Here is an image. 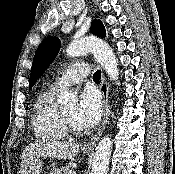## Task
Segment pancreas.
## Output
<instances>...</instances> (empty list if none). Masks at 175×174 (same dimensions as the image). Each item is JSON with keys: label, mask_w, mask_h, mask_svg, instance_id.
<instances>
[{"label": "pancreas", "mask_w": 175, "mask_h": 174, "mask_svg": "<svg viewBox=\"0 0 175 174\" xmlns=\"http://www.w3.org/2000/svg\"><path fill=\"white\" fill-rule=\"evenodd\" d=\"M64 174H73V165L72 163H68L65 167L62 168ZM54 174V173H51Z\"/></svg>", "instance_id": "cf45deb5"}]
</instances>
